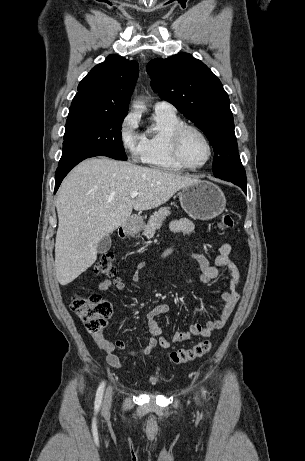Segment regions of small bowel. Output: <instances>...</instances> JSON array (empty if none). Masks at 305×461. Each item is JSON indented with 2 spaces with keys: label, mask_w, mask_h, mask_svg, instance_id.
Instances as JSON below:
<instances>
[{
  "label": "small bowel",
  "mask_w": 305,
  "mask_h": 461,
  "mask_svg": "<svg viewBox=\"0 0 305 461\" xmlns=\"http://www.w3.org/2000/svg\"><path fill=\"white\" fill-rule=\"evenodd\" d=\"M171 230L174 233L189 234L193 232L194 224L191 220L186 218L175 219L171 222ZM175 251V248L168 247L162 252V257H168ZM231 251V245L229 243H223L220 246L218 255L214 259L213 263H211L203 254H189V257L198 263L201 270L200 280L204 284L210 283L213 279L223 273L228 278L227 288L221 293L222 307L218 316L213 320L207 321L205 324H192L188 330L176 332L173 335L172 340H169L162 335V328L157 320L159 316L164 315L169 311V306L167 304H158L147 313V324L151 334L148 346L138 352H130L129 354L147 356L157 346L167 349L172 343L179 344L189 342L197 337H209L214 331L225 325L234 311L240 297L238 292L240 274L237 266L229 258ZM145 267L146 264L144 262L138 263L132 276L133 281L137 282L139 280L141 271ZM112 286H115V288L119 291L126 289L125 282L120 277H117L113 280L105 279L101 281L99 284V290L104 292L109 290ZM94 340L103 351L106 362L114 368H120L122 363L116 355L115 350H125L124 340L116 339L115 341H111L103 333L95 334Z\"/></svg>",
  "instance_id": "obj_1"
}]
</instances>
